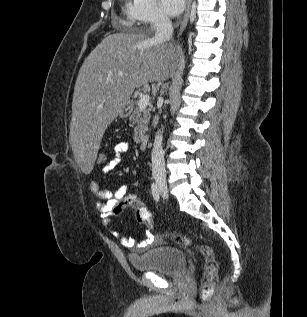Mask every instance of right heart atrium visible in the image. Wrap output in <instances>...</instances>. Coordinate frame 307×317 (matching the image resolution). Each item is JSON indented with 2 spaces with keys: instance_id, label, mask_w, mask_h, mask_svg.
Segmentation results:
<instances>
[{
  "instance_id": "right-heart-atrium-1",
  "label": "right heart atrium",
  "mask_w": 307,
  "mask_h": 317,
  "mask_svg": "<svg viewBox=\"0 0 307 317\" xmlns=\"http://www.w3.org/2000/svg\"><path fill=\"white\" fill-rule=\"evenodd\" d=\"M130 14L139 23L152 27L165 26L168 22L156 0H132Z\"/></svg>"
}]
</instances>
